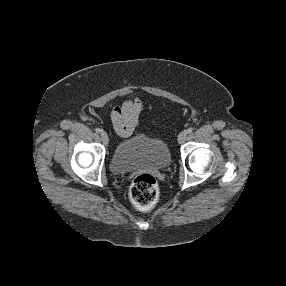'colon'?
I'll return each mask as SVG.
<instances>
[{
    "instance_id": "5ec220e1",
    "label": "colon",
    "mask_w": 286,
    "mask_h": 286,
    "mask_svg": "<svg viewBox=\"0 0 286 286\" xmlns=\"http://www.w3.org/2000/svg\"><path fill=\"white\" fill-rule=\"evenodd\" d=\"M129 194L137 208L147 210L156 204L159 197V186L152 175L140 174L132 181Z\"/></svg>"
}]
</instances>
